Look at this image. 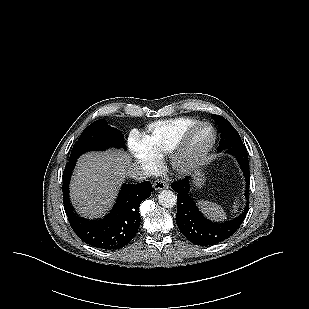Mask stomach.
<instances>
[{"label": "stomach", "instance_id": "0dacf381", "mask_svg": "<svg viewBox=\"0 0 309 309\" xmlns=\"http://www.w3.org/2000/svg\"><path fill=\"white\" fill-rule=\"evenodd\" d=\"M205 183L204 173L201 169H196L194 178H193V186L195 188H201Z\"/></svg>", "mask_w": 309, "mask_h": 309}]
</instances>
